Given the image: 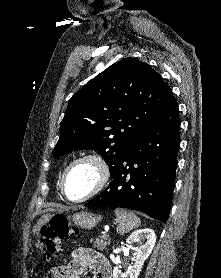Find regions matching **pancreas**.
<instances>
[{
	"mask_svg": "<svg viewBox=\"0 0 221 278\" xmlns=\"http://www.w3.org/2000/svg\"><path fill=\"white\" fill-rule=\"evenodd\" d=\"M90 241L93 242L94 248H97L99 250L105 249L106 246L110 244V239L106 234L100 236L99 238H96L95 241L93 239H91Z\"/></svg>",
	"mask_w": 221,
	"mask_h": 278,
	"instance_id": "obj_1",
	"label": "pancreas"
}]
</instances>
